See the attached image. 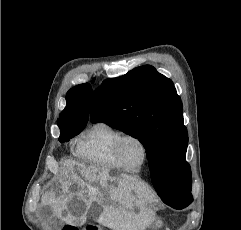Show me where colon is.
Wrapping results in <instances>:
<instances>
[{
	"mask_svg": "<svg viewBox=\"0 0 241 230\" xmlns=\"http://www.w3.org/2000/svg\"><path fill=\"white\" fill-rule=\"evenodd\" d=\"M62 230H78V229L72 226H65Z\"/></svg>",
	"mask_w": 241,
	"mask_h": 230,
	"instance_id": "5ec220e1",
	"label": "colon"
}]
</instances>
